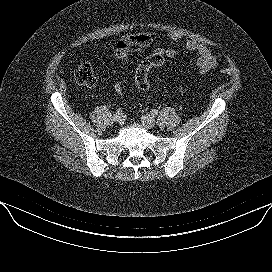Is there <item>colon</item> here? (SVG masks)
<instances>
[{
    "instance_id": "obj_1",
    "label": "colon",
    "mask_w": 272,
    "mask_h": 272,
    "mask_svg": "<svg viewBox=\"0 0 272 272\" xmlns=\"http://www.w3.org/2000/svg\"><path fill=\"white\" fill-rule=\"evenodd\" d=\"M152 36L147 34H137L133 35L134 46L132 48L140 49L146 47L151 42ZM127 53L123 51H114V58H122ZM165 63V57L159 54H152L144 59L138 66L135 74V82L137 87L142 91H148L150 89V84L148 80V74L153 67H160ZM222 73L228 74L229 69L223 68ZM74 80L77 84L85 87H92L95 82V75L93 67L90 63L82 62L79 64L73 73ZM114 91L117 94L123 93L124 87L121 83H116L114 85Z\"/></svg>"
}]
</instances>
